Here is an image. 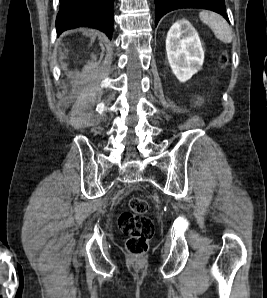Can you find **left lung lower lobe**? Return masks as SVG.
Wrapping results in <instances>:
<instances>
[{"instance_id":"left-lung-lower-lobe-1","label":"left lung lower lobe","mask_w":267,"mask_h":298,"mask_svg":"<svg viewBox=\"0 0 267 298\" xmlns=\"http://www.w3.org/2000/svg\"><path fill=\"white\" fill-rule=\"evenodd\" d=\"M155 25L166 13L181 8L208 9L221 14L228 22L224 0H155Z\"/></svg>"}]
</instances>
